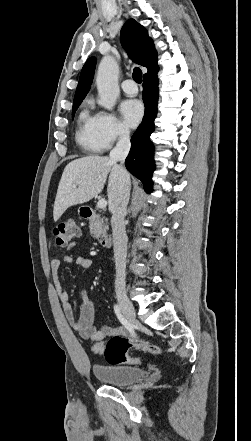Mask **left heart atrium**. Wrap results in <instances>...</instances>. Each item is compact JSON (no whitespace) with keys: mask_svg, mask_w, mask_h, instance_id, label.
Wrapping results in <instances>:
<instances>
[{"mask_svg":"<svg viewBox=\"0 0 251 441\" xmlns=\"http://www.w3.org/2000/svg\"><path fill=\"white\" fill-rule=\"evenodd\" d=\"M120 110L125 125L130 128L136 127L144 115L143 105L139 100L136 99H128L123 101L121 103Z\"/></svg>","mask_w":251,"mask_h":441,"instance_id":"39dd6f15","label":"left heart atrium"}]
</instances>
